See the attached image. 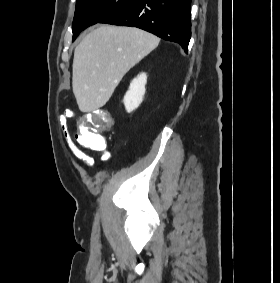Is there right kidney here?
<instances>
[{"instance_id": "ca27d5eb", "label": "right kidney", "mask_w": 280, "mask_h": 283, "mask_svg": "<svg viewBox=\"0 0 280 283\" xmlns=\"http://www.w3.org/2000/svg\"><path fill=\"white\" fill-rule=\"evenodd\" d=\"M146 83H147L146 73L139 74L130 83L129 90L126 92L123 100L126 111L128 113L138 108V106L143 101Z\"/></svg>"}]
</instances>
